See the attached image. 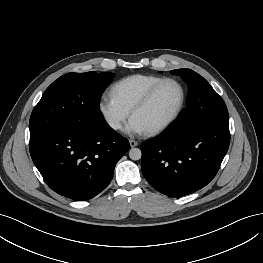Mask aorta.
<instances>
[{
  "instance_id": "aorta-1",
  "label": "aorta",
  "mask_w": 263,
  "mask_h": 263,
  "mask_svg": "<svg viewBox=\"0 0 263 263\" xmlns=\"http://www.w3.org/2000/svg\"><path fill=\"white\" fill-rule=\"evenodd\" d=\"M142 156L141 150L138 148H131L129 150V157L132 160H139Z\"/></svg>"
}]
</instances>
